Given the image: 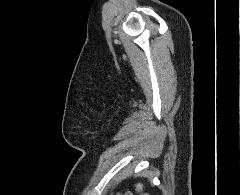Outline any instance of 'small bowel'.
I'll use <instances>...</instances> for the list:
<instances>
[{"instance_id": "small-bowel-1", "label": "small bowel", "mask_w": 240, "mask_h": 195, "mask_svg": "<svg viewBox=\"0 0 240 195\" xmlns=\"http://www.w3.org/2000/svg\"><path fill=\"white\" fill-rule=\"evenodd\" d=\"M137 190H141V187L137 186ZM123 195H133V192H125Z\"/></svg>"}]
</instances>
